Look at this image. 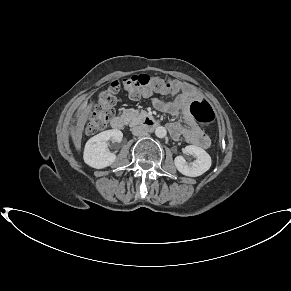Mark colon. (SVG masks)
Returning <instances> with one entry per match:
<instances>
[{"label": "colon", "instance_id": "5ec220e1", "mask_svg": "<svg viewBox=\"0 0 291 291\" xmlns=\"http://www.w3.org/2000/svg\"><path fill=\"white\" fill-rule=\"evenodd\" d=\"M121 85L128 92L130 98L139 99L162 92L169 86V82L155 75L136 74L123 79L121 83L118 81L110 83L100 91L96 103L88 109L87 133L94 134L106 128L109 120L115 114L116 94ZM190 111L201 125L205 127L213 126L215 114L208 102L195 100L191 103Z\"/></svg>", "mask_w": 291, "mask_h": 291}]
</instances>
